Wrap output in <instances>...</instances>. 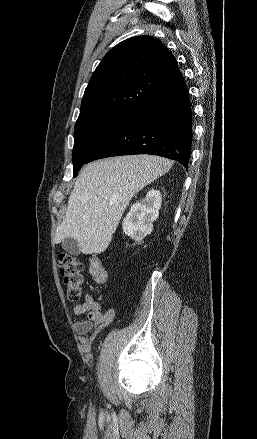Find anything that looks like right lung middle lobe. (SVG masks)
<instances>
[{
  "label": "right lung middle lobe",
  "instance_id": "right-lung-middle-lobe-1",
  "mask_svg": "<svg viewBox=\"0 0 257 439\" xmlns=\"http://www.w3.org/2000/svg\"><path fill=\"white\" fill-rule=\"evenodd\" d=\"M128 115L120 113H92L79 116L74 129V177L97 146Z\"/></svg>",
  "mask_w": 257,
  "mask_h": 439
}]
</instances>
